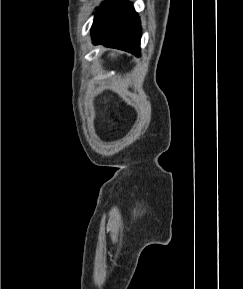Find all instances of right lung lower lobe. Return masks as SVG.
<instances>
[{
	"mask_svg": "<svg viewBox=\"0 0 243 289\" xmlns=\"http://www.w3.org/2000/svg\"><path fill=\"white\" fill-rule=\"evenodd\" d=\"M94 44L140 55V19L131 3L107 0L95 15L91 29Z\"/></svg>",
	"mask_w": 243,
	"mask_h": 289,
	"instance_id": "right-lung-lower-lobe-1",
	"label": "right lung lower lobe"
}]
</instances>
